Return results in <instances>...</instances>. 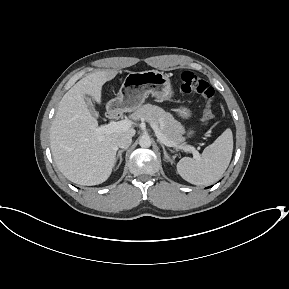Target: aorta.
Listing matches in <instances>:
<instances>
[{
    "label": "aorta",
    "instance_id": "obj_1",
    "mask_svg": "<svg viewBox=\"0 0 289 289\" xmlns=\"http://www.w3.org/2000/svg\"><path fill=\"white\" fill-rule=\"evenodd\" d=\"M151 139L149 136H142L139 140V145L142 147V148H148L151 146Z\"/></svg>",
    "mask_w": 289,
    "mask_h": 289
}]
</instances>
